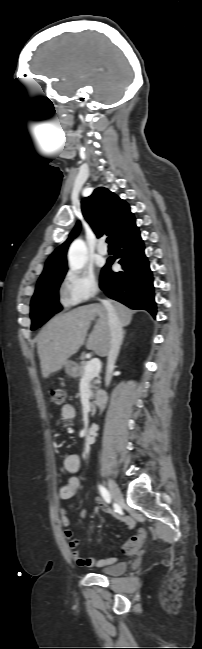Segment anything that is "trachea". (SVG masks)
Instances as JSON below:
<instances>
[{"label": "trachea", "instance_id": "1", "mask_svg": "<svg viewBox=\"0 0 202 649\" xmlns=\"http://www.w3.org/2000/svg\"><path fill=\"white\" fill-rule=\"evenodd\" d=\"M107 243H108L109 245H112V243H113V239H112L111 236H109V237L107 238Z\"/></svg>", "mask_w": 202, "mask_h": 649}]
</instances>
